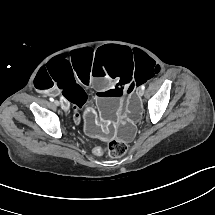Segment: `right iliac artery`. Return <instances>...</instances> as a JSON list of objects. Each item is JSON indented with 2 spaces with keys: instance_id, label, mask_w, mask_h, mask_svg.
I'll list each match as a JSON object with an SVG mask.
<instances>
[{
  "instance_id": "right-iliac-artery-1",
  "label": "right iliac artery",
  "mask_w": 215,
  "mask_h": 215,
  "mask_svg": "<svg viewBox=\"0 0 215 215\" xmlns=\"http://www.w3.org/2000/svg\"><path fill=\"white\" fill-rule=\"evenodd\" d=\"M50 101H52V102H53V101H54V99H53V98H50Z\"/></svg>"
}]
</instances>
